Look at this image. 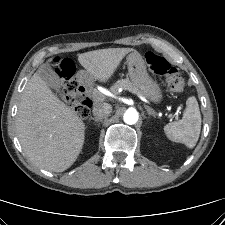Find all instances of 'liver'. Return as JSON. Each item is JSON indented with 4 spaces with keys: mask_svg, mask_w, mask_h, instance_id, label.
<instances>
[{
    "mask_svg": "<svg viewBox=\"0 0 225 225\" xmlns=\"http://www.w3.org/2000/svg\"><path fill=\"white\" fill-rule=\"evenodd\" d=\"M132 48H108L79 54V63L95 79L106 82ZM51 61V60H50ZM16 128L22 149L36 166L51 172L68 169L80 154L85 124L38 73L27 83L19 103Z\"/></svg>",
    "mask_w": 225,
    "mask_h": 225,
    "instance_id": "obj_1",
    "label": "liver"
}]
</instances>
